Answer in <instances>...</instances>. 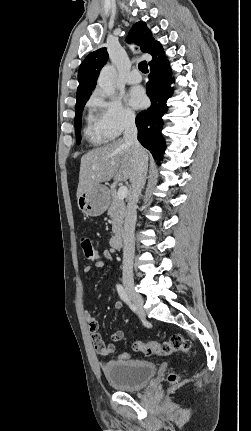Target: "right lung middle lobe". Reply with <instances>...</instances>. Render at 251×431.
<instances>
[{
    "label": "right lung middle lobe",
    "mask_w": 251,
    "mask_h": 431,
    "mask_svg": "<svg viewBox=\"0 0 251 431\" xmlns=\"http://www.w3.org/2000/svg\"><path fill=\"white\" fill-rule=\"evenodd\" d=\"M90 96H86L80 99H77L76 102V108H75V133H76V141L77 144H80L81 137H80V129H81V118H82V111L86 104V101L88 100Z\"/></svg>",
    "instance_id": "dd1d6c3e"
}]
</instances>
